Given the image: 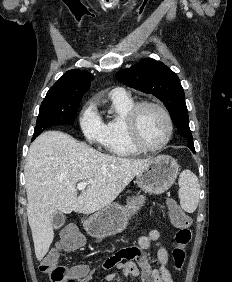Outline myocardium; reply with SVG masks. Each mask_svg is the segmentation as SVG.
Here are the masks:
<instances>
[{"instance_id":"1","label":"myocardium","mask_w":232,"mask_h":282,"mask_svg":"<svg viewBox=\"0 0 232 282\" xmlns=\"http://www.w3.org/2000/svg\"><path fill=\"white\" fill-rule=\"evenodd\" d=\"M147 107L155 108L159 112H161L166 120L167 127H168L166 138L160 144L155 145V146L146 145L141 140L139 136V132H138L139 115L141 111ZM125 122H126L127 134H128V138L130 142L132 143L134 147H136L138 150L142 152H154V151H158L164 148L171 141L173 133H174V123H173L170 113L162 105L156 102H152V101H141V102L135 103L132 106V108L127 112Z\"/></svg>"}]
</instances>
